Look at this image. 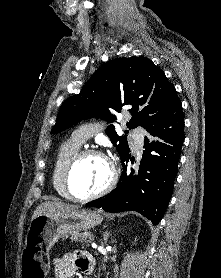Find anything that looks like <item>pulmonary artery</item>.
<instances>
[{"label":"pulmonary artery","instance_id":"pulmonary-artery-1","mask_svg":"<svg viewBox=\"0 0 221 278\" xmlns=\"http://www.w3.org/2000/svg\"><path fill=\"white\" fill-rule=\"evenodd\" d=\"M98 130L96 125L88 124L80 127L73 134V137L80 141L85 142L88 138L93 136V134ZM133 145L136 150H140L143 146L144 132L141 130H136L132 134Z\"/></svg>","mask_w":221,"mask_h":278}]
</instances>
